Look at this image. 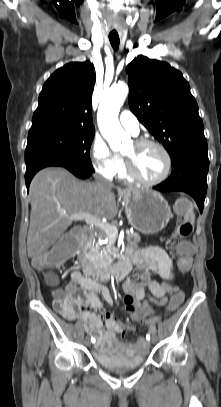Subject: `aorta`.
<instances>
[{
  "label": "aorta",
  "instance_id": "aorta-1",
  "mask_svg": "<svg viewBox=\"0 0 221 407\" xmlns=\"http://www.w3.org/2000/svg\"><path fill=\"white\" fill-rule=\"evenodd\" d=\"M128 95V87L118 84L106 91L100 100L98 108V126L102 136L108 141L113 150L121 147V140L125 137L118 114Z\"/></svg>",
  "mask_w": 221,
  "mask_h": 407
}]
</instances>
